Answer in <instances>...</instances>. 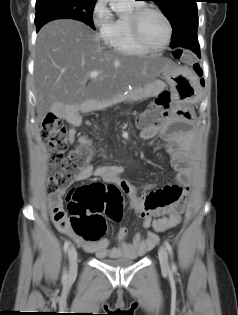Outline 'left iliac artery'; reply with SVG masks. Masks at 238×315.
<instances>
[{
    "label": "left iliac artery",
    "mask_w": 238,
    "mask_h": 315,
    "mask_svg": "<svg viewBox=\"0 0 238 315\" xmlns=\"http://www.w3.org/2000/svg\"><path fill=\"white\" fill-rule=\"evenodd\" d=\"M165 246H166V248L168 250V253L170 254V257L172 258L173 257V249H172V246L170 245V243L167 240L165 241ZM171 268L173 270L176 269V266H175V263L173 262V260L171 262Z\"/></svg>",
    "instance_id": "44dca946"
}]
</instances>
